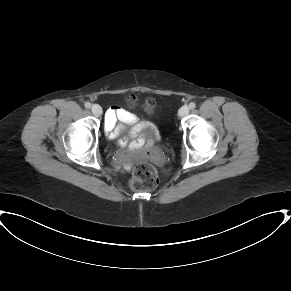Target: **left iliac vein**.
Listing matches in <instances>:
<instances>
[{
  "label": "left iliac vein",
  "instance_id": "obj_1",
  "mask_svg": "<svg viewBox=\"0 0 291 291\" xmlns=\"http://www.w3.org/2000/svg\"><path fill=\"white\" fill-rule=\"evenodd\" d=\"M189 111H190V109L188 106H183L179 110L178 114L180 117H184V116H187L189 114Z\"/></svg>",
  "mask_w": 291,
  "mask_h": 291
}]
</instances>
